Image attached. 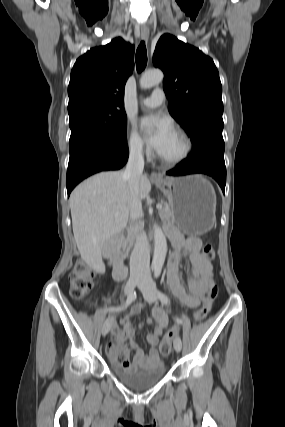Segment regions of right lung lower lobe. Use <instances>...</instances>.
I'll list each match as a JSON object with an SVG mask.
<instances>
[{"instance_id":"1","label":"right lung lower lobe","mask_w":285,"mask_h":427,"mask_svg":"<svg viewBox=\"0 0 285 427\" xmlns=\"http://www.w3.org/2000/svg\"><path fill=\"white\" fill-rule=\"evenodd\" d=\"M128 147L90 138L80 142L72 151L67 170V193L83 179L97 172L118 170L128 160Z\"/></svg>"}]
</instances>
